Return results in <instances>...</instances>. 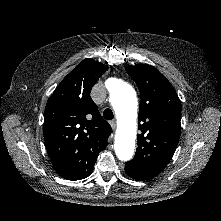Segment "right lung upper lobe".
Masks as SVG:
<instances>
[{"label":"right lung upper lobe","instance_id":"cb5924a9","mask_svg":"<svg viewBox=\"0 0 221 221\" xmlns=\"http://www.w3.org/2000/svg\"><path fill=\"white\" fill-rule=\"evenodd\" d=\"M108 67L85 59L58 85L47 101L43 133L55 171L68 180L88 177L112 129L90 97Z\"/></svg>","mask_w":221,"mask_h":221}]
</instances>
